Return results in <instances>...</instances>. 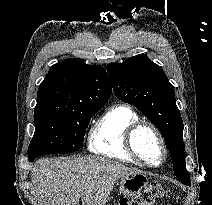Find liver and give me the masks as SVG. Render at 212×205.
<instances>
[{"label": "liver", "instance_id": "obj_1", "mask_svg": "<svg viewBox=\"0 0 212 205\" xmlns=\"http://www.w3.org/2000/svg\"><path fill=\"white\" fill-rule=\"evenodd\" d=\"M134 172L96 156L38 160L31 180L39 205H105L115 182Z\"/></svg>", "mask_w": 212, "mask_h": 205}]
</instances>
